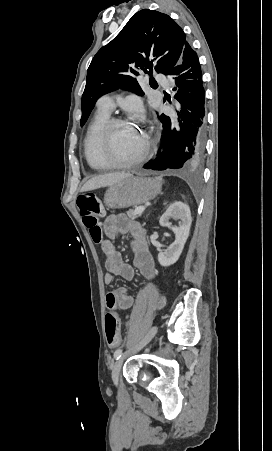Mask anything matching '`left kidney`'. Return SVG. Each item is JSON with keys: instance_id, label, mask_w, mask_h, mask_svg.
<instances>
[{"instance_id": "1", "label": "left kidney", "mask_w": 272, "mask_h": 451, "mask_svg": "<svg viewBox=\"0 0 272 451\" xmlns=\"http://www.w3.org/2000/svg\"><path fill=\"white\" fill-rule=\"evenodd\" d=\"M171 218L173 220H181L182 224L178 227H172L171 222H169ZM191 222L190 208L187 204H183V202H174V204L169 206L165 214L161 216L159 220L160 226L170 227L175 233V241L170 243L167 249L158 253V261L161 265H171V263H175L179 259L184 243L189 235Z\"/></svg>"}]
</instances>
